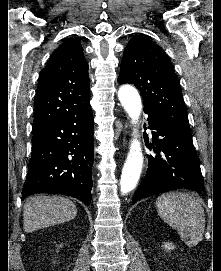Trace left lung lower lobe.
<instances>
[{"instance_id": "obj_1", "label": "left lung lower lobe", "mask_w": 221, "mask_h": 271, "mask_svg": "<svg viewBox=\"0 0 221 271\" xmlns=\"http://www.w3.org/2000/svg\"><path fill=\"white\" fill-rule=\"evenodd\" d=\"M144 112L148 114V128L153 130L150 149L156 155L148 156L147 173L132 202L178 188L200 193L203 178L192 135L153 113ZM144 140L149 147L147 134H144Z\"/></svg>"}]
</instances>
